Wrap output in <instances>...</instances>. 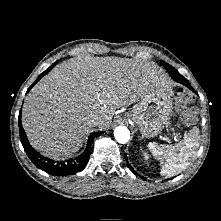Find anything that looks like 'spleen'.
<instances>
[{"instance_id": "1", "label": "spleen", "mask_w": 221, "mask_h": 221, "mask_svg": "<svg viewBox=\"0 0 221 221\" xmlns=\"http://www.w3.org/2000/svg\"><path fill=\"white\" fill-rule=\"evenodd\" d=\"M198 135V129L194 128L176 145L164 146L155 142L148 144L153 156L163 164L160 172L162 176L171 177L186 169L199 147Z\"/></svg>"}]
</instances>
